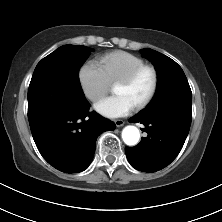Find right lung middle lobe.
Returning a JSON list of instances; mask_svg holds the SVG:
<instances>
[{"mask_svg": "<svg viewBox=\"0 0 222 222\" xmlns=\"http://www.w3.org/2000/svg\"><path fill=\"white\" fill-rule=\"evenodd\" d=\"M89 55L90 50L85 46L64 45L43 58L29 85L28 113L85 106L88 102L81 90L78 73Z\"/></svg>", "mask_w": 222, "mask_h": 222, "instance_id": "obj_1", "label": "right lung middle lobe"}]
</instances>
